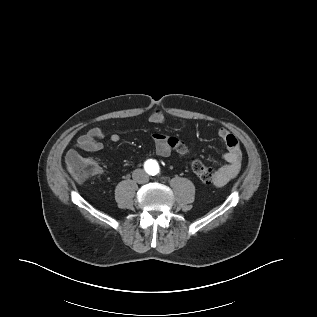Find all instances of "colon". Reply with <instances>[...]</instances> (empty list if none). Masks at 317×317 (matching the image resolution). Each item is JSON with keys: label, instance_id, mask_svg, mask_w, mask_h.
<instances>
[{"label": "colon", "instance_id": "1", "mask_svg": "<svg viewBox=\"0 0 317 317\" xmlns=\"http://www.w3.org/2000/svg\"><path fill=\"white\" fill-rule=\"evenodd\" d=\"M182 154L188 155V148L183 151ZM69 169L75 180L82 182L96 174L97 165L90 159L79 157L69 163ZM191 170L193 174L205 184H210L215 179L216 172L213 167L204 164L196 158H193L191 161Z\"/></svg>", "mask_w": 317, "mask_h": 317}]
</instances>
